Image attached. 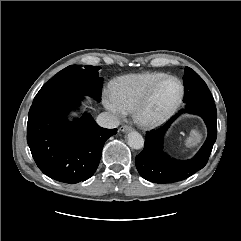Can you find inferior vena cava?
<instances>
[{"label":"inferior vena cava","instance_id":"602c4592","mask_svg":"<svg viewBox=\"0 0 241 241\" xmlns=\"http://www.w3.org/2000/svg\"><path fill=\"white\" fill-rule=\"evenodd\" d=\"M96 122L99 126L104 128H116L119 126V120L109 112H102L98 115Z\"/></svg>","mask_w":241,"mask_h":241}]
</instances>
